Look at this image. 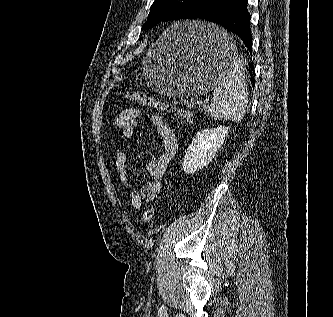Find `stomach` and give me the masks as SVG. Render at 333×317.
<instances>
[{
	"mask_svg": "<svg viewBox=\"0 0 333 317\" xmlns=\"http://www.w3.org/2000/svg\"><path fill=\"white\" fill-rule=\"evenodd\" d=\"M221 24L201 21L175 24L167 28L150 47L142 61L143 76L161 95L186 97L208 95L227 69L244 62L238 45Z\"/></svg>",
	"mask_w": 333,
	"mask_h": 317,
	"instance_id": "1",
	"label": "stomach"
}]
</instances>
